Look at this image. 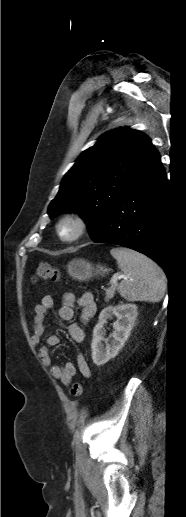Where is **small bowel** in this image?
<instances>
[{
    "label": "small bowel",
    "instance_id": "small-bowel-1",
    "mask_svg": "<svg viewBox=\"0 0 186 517\" xmlns=\"http://www.w3.org/2000/svg\"><path fill=\"white\" fill-rule=\"evenodd\" d=\"M75 305H77L81 310V322L71 323L66 328L71 339L75 343L81 344L85 339L82 324L88 323L94 316L96 312V303L91 293H84L80 297H77L72 292H66L62 297V303L58 309V318L60 322L70 321L73 318ZM53 307L54 300L52 296L49 295L44 296L41 303L34 307V314L32 317L34 325L32 342L36 346L41 343V339L45 333L44 322ZM60 342V337L57 334H50L47 337V344L42 345L39 348V359L49 368L51 375L63 385H68L76 374L78 368L83 377L89 378L91 376V370L82 354L77 356V367L71 362H66L63 365L52 364L49 347L59 345Z\"/></svg>",
    "mask_w": 186,
    "mask_h": 517
}]
</instances>
